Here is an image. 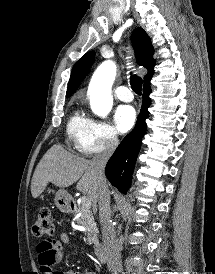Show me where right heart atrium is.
I'll return each instance as SVG.
<instances>
[{
  "instance_id": "right-heart-atrium-1",
  "label": "right heart atrium",
  "mask_w": 215,
  "mask_h": 274,
  "mask_svg": "<svg viewBox=\"0 0 215 274\" xmlns=\"http://www.w3.org/2000/svg\"><path fill=\"white\" fill-rule=\"evenodd\" d=\"M118 144L119 139L114 127L105 121L90 119L88 131L76 147L82 154L91 156L111 152Z\"/></svg>"
}]
</instances>
